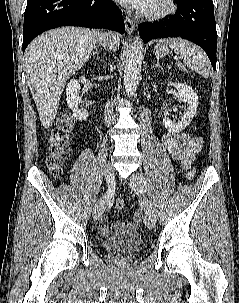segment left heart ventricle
Returning a JSON list of instances; mask_svg holds the SVG:
<instances>
[{
  "label": "left heart ventricle",
  "mask_w": 239,
  "mask_h": 303,
  "mask_svg": "<svg viewBox=\"0 0 239 303\" xmlns=\"http://www.w3.org/2000/svg\"><path fill=\"white\" fill-rule=\"evenodd\" d=\"M162 0H151L149 6L146 8V10H155L161 7Z\"/></svg>",
  "instance_id": "left-heart-ventricle-1"
}]
</instances>
